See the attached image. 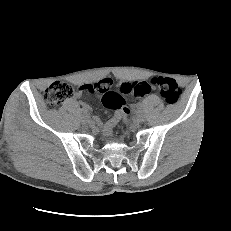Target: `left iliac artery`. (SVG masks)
<instances>
[{
    "label": "left iliac artery",
    "instance_id": "44dca946",
    "mask_svg": "<svg viewBox=\"0 0 231 231\" xmlns=\"http://www.w3.org/2000/svg\"><path fill=\"white\" fill-rule=\"evenodd\" d=\"M144 109V106L142 104H136L135 105V110L136 111H142Z\"/></svg>",
    "mask_w": 231,
    "mask_h": 231
}]
</instances>
